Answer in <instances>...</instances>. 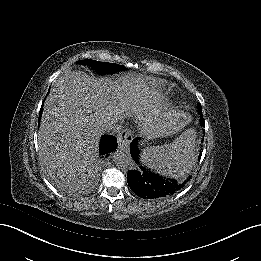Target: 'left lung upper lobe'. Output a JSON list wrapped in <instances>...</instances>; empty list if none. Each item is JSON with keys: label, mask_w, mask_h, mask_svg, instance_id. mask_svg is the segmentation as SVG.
I'll list each match as a JSON object with an SVG mask.
<instances>
[{"label": "left lung upper lobe", "mask_w": 261, "mask_h": 261, "mask_svg": "<svg viewBox=\"0 0 261 261\" xmlns=\"http://www.w3.org/2000/svg\"><path fill=\"white\" fill-rule=\"evenodd\" d=\"M198 110L200 112V114L202 115V107L201 104L198 105ZM203 119V118H202ZM202 119H200L201 123H202Z\"/></svg>", "instance_id": "left-lung-upper-lobe-1"}]
</instances>
